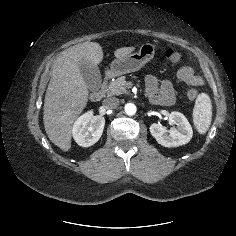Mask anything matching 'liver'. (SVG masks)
<instances>
[{
	"instance_id": "6515ba94",
	"label": "liver",
	"mask_w": 236,
	"mask_h": 236,
	"mask_svg": "<svg viewBox=\"0 0 236 236\" xmlns=\"http://www.w3.org/2000/svg\"><path fill=\"white\" fill-rule=\"evenodd\" d=\"M134 47L114 51L116 58L131 54ZM87 59L98 65L103 51L96 42H84L65 50L52 67L43 111L44 128L52 143L63 151L71 148L72 126L88 101V87L80 73L79 62Z\"/></svg>"
}]
</instances>
